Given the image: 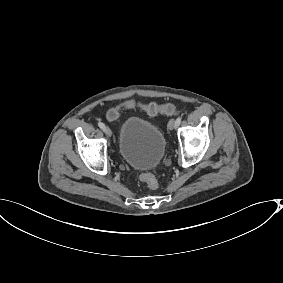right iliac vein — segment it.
Wrapping results in <instances>:
<instances>
[{"label": "right iliac vein", "instance_id": "obj_1", "mask_svg": "<svg viewBox=\"0 0 283 283\" xmlns=\"http://www.w3.org/2000/svg\"><path fill=\"white\" fill-rule=\"evenodd\" d=\"M105 133L107 134V136H111L112 134L111 130L108 127L105 128Z\"/></svg>", "mask_w": 283, "mask_h": 283}]
</instances>
